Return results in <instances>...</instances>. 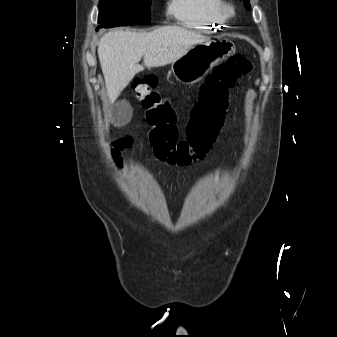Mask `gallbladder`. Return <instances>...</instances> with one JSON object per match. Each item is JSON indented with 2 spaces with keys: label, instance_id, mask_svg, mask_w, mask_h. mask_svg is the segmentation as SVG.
<instances>
[{
  "label": "gallbladder",
  "instance_id": "gallbladder-1",
  "mask_svg": "<svg viewBox=\"0 0 337 337\" xmlns=\"http://www.w3.org/2000/svg\"><path fill=\"white\" fill-rule=\"evenodd\" d=\"M131 108L126 101H119L113 105V123L117 126L125 125L131 119Z\"/></svg>",
  "mask_w": 337,
  "mask_h": 337
}]
</instances>
